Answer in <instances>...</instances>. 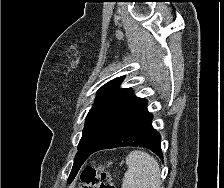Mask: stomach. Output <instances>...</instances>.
I'll list each match as a JSON object with an SVG mask.
<instances>
[{
	"instance_id": "stomach-1",
	"label": "stomach",
	"mask_w": 224,
	"mask_h": 188,
	"mask_svg": "<svg viewBox=\"0 0 224 188\" xmlns=\"http://www.w3.org/2000/svg\"><path fill=\"white\" fill-rule=\"evenodd\" d=\"M104 168H105V167L100 166V167H98V168H97V170L103 171V170H104Z\"/></svg>"
}]
</instances>
